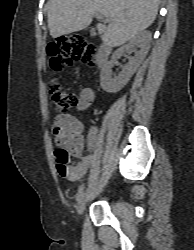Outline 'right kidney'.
I'll return each instance as SVG.
<instances>
[{
    "mask_svg": "<svg viewBox=\"0 0 194 250\" xmlns=\"http://www.w3.org/2000/svg\"><path fill=\"white\" fill-rule=\"evenodd\" d=\"M151 41V33L142 32L134 36L130 41L117 49L112 57L111 61L102 69L100 75V84L104 91L108 93H116L120 91L130 80L132 75L136 72L144 58L146 57ZM139 48L136 51L134 57L129 58V62L125 65L118 76L112 78V68L117 59H119L124 53L132 51L135 48Z\"/></svg>",
    "mask_w": 194,
    "mask_h": 250,
    "instance_id": "right-kidney-1",
    "label": "right kidney"
}]
</instances>
